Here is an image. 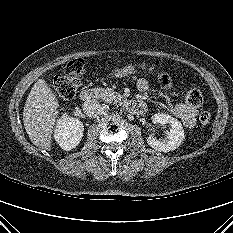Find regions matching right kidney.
I'll use <instances>...</instances> for the list:
<instances>
[{"mask_svg": "<svg viewBox=\"0 0 233 233\" xmlns=\"http://www.w3.org/2000/svg\"><path fill=\"white\" fill-rule=\"evenodd\" d=\"M83 132L84 125L80 120L64 114L57 122L54 138L62 149L69 151L78 146Z\"/></svg>", "mask_w": 233, "mask_h": 233, "instance_id": "1", "label": "right kidney"}]
</instances>
